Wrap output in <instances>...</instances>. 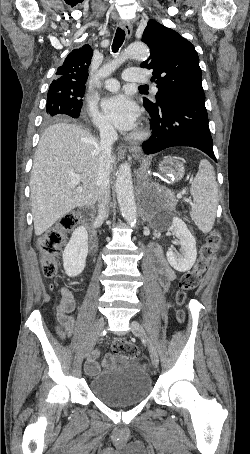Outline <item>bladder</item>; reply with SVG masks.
Returning a JSON list of instances; mask_svg holds the SVG:
<instances>
[{
	"instance_id": "1",
	"label": "bladder",
	"mask_w": 250,
	"mask_h": 454,
	"mask_svg": "<svg viewBox=\"0 0 250 454\" xmlns=\"http://www.w3.org/2000/svg\"><path fill=\"white\" fill-rule=\"evenodd\" d=\"M117 369L104 371L90 379L91 393L108 406L135 405L151 392V377L140 365L128 362L123 356Z\"/></svg>"
}]
</instances>
